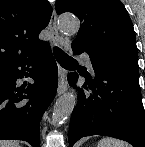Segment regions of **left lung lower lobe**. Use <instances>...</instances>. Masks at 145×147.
Masks as SVG:
<instances>
[{"label": "left lung lower lobe", "instance_id": "left-lung-lower-lobe-1", "mask_svg": "<svg viewBox=\"0 0 145 147\" xmlns=\"http://www.w3.org/2000/svg\"><path fill=\"white\" fill-rule=\"evenodd\" d=\"M74 55L89 54L95 78L85 76L78 89V102L69 127V145L84 136L105 135L145 147V113L139 86L138 58L127 55H94L72 45ZM78 79L76 72L68 75L69 83Z\"/></svg>", "mask_w": 145, "mask_h": 147}]
</instances>
